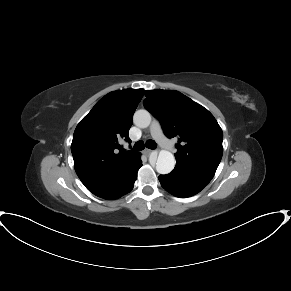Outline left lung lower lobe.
<instances>
[{
    "instance_id": "obj_1",
    "label": "left lung lower lobe",
    "mask_w": 291,
    "mask_h": 291,
    "mask_svg": "<svg viewBox=\"0 0 291 291\" xmlns=\"http://www.w3.org/2000/svg\"><path fill=\"white\" fill-rule=\"evenodd\" d=\"M210 172L176 165L168 175H160L162 187L176 197L187 198L200 192L213 178Z\"/></svg>"
}]
</instances>
